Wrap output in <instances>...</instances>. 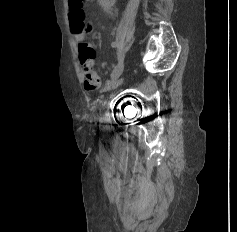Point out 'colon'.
<instances>
[{"instance_id":"obj_1","label":"colon","mask_w":237,"mask_h":232,"mask_svg":"<svg viewBox=\"0 0 237 232\" xmlns=\"http://www.w3.org/2000/svg\"><path fill=\"white\" fill-rule=\"evenodd\" d=\"M85 0H69L70 24L75 34H86L91 31V25L85 20L83 3Z\"/></svg>"}]
</instances>
